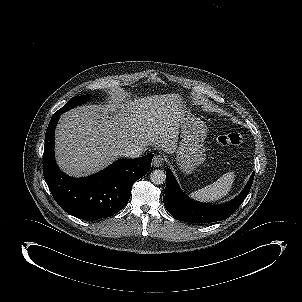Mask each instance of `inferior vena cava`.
<instances>
[{
    "label": "inferior vena cava",
    "mask_w": 302,
    "mask_h": 302,
    "mask_svg": "<svg viewBox=\"0 0 302 302\" xmlns=\"http://www.w3.org/2000/svg\"><path fill=\"white\" fill-rule=\"evenodd\" d=\"M145 150L146 149L144 147L140 146L127 147L121 151L120 155L126 158H138L145 152Z\"/></svg>",
    "instance_id": "1"
}]
</instances>
